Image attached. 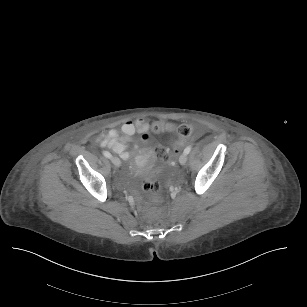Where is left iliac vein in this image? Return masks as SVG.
Segmentation results:
<instances>
[{
	"mask_svg": "<svg viewBox=\"0 0 307 307\" xmlns=\"http://www.w3.org/2000/svg\"><path fill=\"white\" fill-rule=\"evenodd\" d=\"M188 160L187 154L183 153L181 154V156L179 157V163L181 165H184Z\"/></svg>",
	"mask_w": 307,
	"mask_h": 307,
	"instance_id": "4c4485c4",
	"label": "left iliac vein"
}]
</instances>
